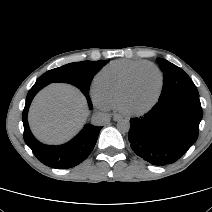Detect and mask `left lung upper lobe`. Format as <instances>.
I'll use <instances>...</instances> for the list:
<instances>
[{
    "mask_svg": "<svg viewBox=\"0 0 212 212\" xmlns=\"http://www.w3.org/2000/svg\"><path fill=\"white\" fill-rule=\"evenodd\" d=\"M157 63L164 73V83L159 99L176 94H188L199 97L196 86L181 68L162 58H157Z\"/></svg>",
    "mask_w": 212,
    "mask_h": 212,
    "instance_id": "1",
    "label": "left lung upper lobe"
}]
</instances>
